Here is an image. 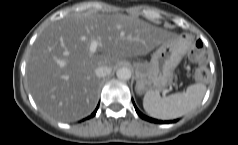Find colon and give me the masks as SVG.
Returning <instances> with one entry per match:
<instances>
[{
	"label": "colon",
	"instance_id": "5ec220e1",
	"mask_svg": "<svg viewBox=\"0 0 238 145\" xmlns=\"http://www.w3.org/2000/svg\"><path fill=\"white\" fill-rule=\"evenodd\" d=\"M191 58L199 65L195 71V79L197 81H205L208 77V70L203 66L206 60V53L201 40H196L191 53Z\"/></svg>",
	"mask_w": 238,
	"mask_h": 145
}]
</instances>
